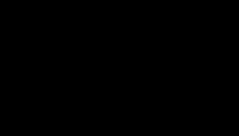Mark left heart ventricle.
Wrapping results in <instances>:
<instances>
[{
    "instance_id": "left-heart-ventricle-1",
    "label": "left heart ventricle",
    "mask_w": 239,
    "mask_h": 136,
    "mask_svg": "<svg viewBox=\"0 0 239 136\" xmlns=\"http://www.w3.org/2000/svg\"><path fill=\"white\" fill-rule=\"evenodd\" d=\"M167 35V31H165L164 33L161 34V36H159L157 38V41L161 40L163 38V36H166Z\"/></svg>"
}]
</instances>
